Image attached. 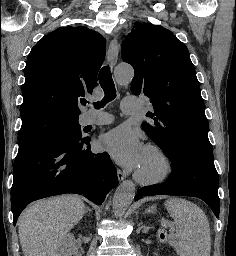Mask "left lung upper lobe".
Returning a JSON list of instances; mask_svg holds the SVG:
<instances>
[{
	"label": "left lung upper lobe",
	"mask_w": 236,
	"mask_h": 256,
	"mask_svg": "<svg viewBox=\"0 0 236 256\" xmlns=\"http://www.w3.org/2000/svg\"><path fill=\"white\" fill-rule=\"evenodd\" d=\"M135 75L134 95L150 98L153 112L142 123L146 134L167 156L188 148L212 152L195 68L187 47L162 26L135 23L121 47Z\"/></svg>",
	"instance_id": "1"
}]
</instances>
